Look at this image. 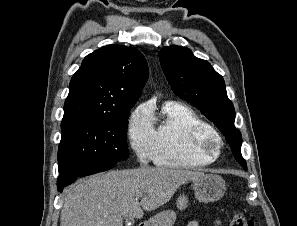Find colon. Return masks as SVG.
Returning <instances> with one entry per match:
<instances>
[{"instance_id":"obj_1","label":"colon","mask_w":297,"mask_h":226,"mask_svg":"<svg viewBox=\"0 0 297 226\" xmlns=\"http://www.w3.org/2000/svg\"><path fill=\"white\" fill-rule=\"evenodd\" d=\"M231 226H254V221L244 212L236 211L233 214Z\"/></svg>"}]
</instances>
